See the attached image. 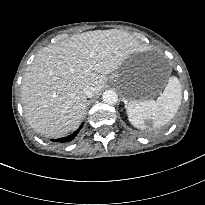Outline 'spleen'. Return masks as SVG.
Wrapping results in <instances>:
<instances>
[{
	"label": "spleen",
	"instance_id": "spleen-1",
	"mask_svg": "<svg viewBox=\"0 0 205 205\" xmlns=\"http://www.w3.org/2000/svg\"><path fill=\"white\" fill-rule=\"evenodd\" d=\"M182 99L179 79L171 76L158 99L131 101L125 108L130 123L136 128H143L145 120L152 119L154 127L168 123L177 113Z\"/></svg>",
	"mask_w": 205,
	"mask_h": 205
}]
</instances>
